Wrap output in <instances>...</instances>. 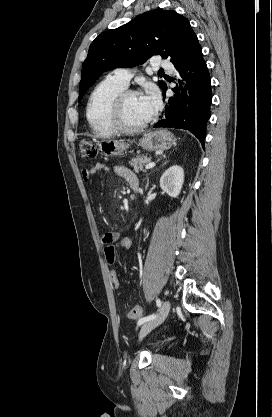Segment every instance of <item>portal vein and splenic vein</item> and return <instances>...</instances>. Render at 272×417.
Masks as SVG:
<instances>
[{"label": "portal vein and splenic vein", "mask_w": 272, "mask_h": 417, "mask_svg": "<svg viewBox=\"0 0 272 417\" xmlns=\"http://www.w3.org/2000/svg\"><path fill=\"white\" fill-rule=\"evenodd\" d=\"M155 166V163L154 162H151V163H149V164H147L146 166H145V169H151V168H153Z\"/></svg>", "instance_id": "18ae733b"}]
</instances>
